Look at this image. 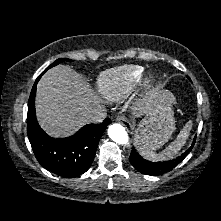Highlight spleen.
<instances>
[{
    "instance_id": "1",
    "label": "spleen",
    "mask_w": 221,
    "mask_h": 221,
    "mask_svg": "<svg viewBox=\"0 0 221 221\" xmlns=\"http://www.w3.org/2000/svg\"><path fill=\"white\" fill-rule=\"evenodd\" d=\"M191 129L192 121H188L183 129L180 131V133L177 135L176 139L163 151H161L160 153H155L151 150H143L141 152L142 156L150 161H163L167 159H172L185 145Z\"/></svg>"
}]
</instances>
